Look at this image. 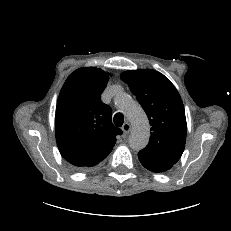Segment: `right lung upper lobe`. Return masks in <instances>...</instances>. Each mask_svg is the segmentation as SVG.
<instances>
[{
  "mask_svg": "<svg viewBox=\"0 0 231 231\" xmlns=\"http://www.w3.org/2000/svg\"><path fill=\"white\" fill-rule=\"evenodd\" d=\"M108 74L94 67L80 68L65 81L57 101L55 134L62 157L88 168L105 159L122 131L111 121V109L100 96Z\"/></svg>",
  "mask_w": 231,
  "mask_h": 231,
  "instance_id": "1",
  "label": "right lung upper lobe"
}]
</instances>
